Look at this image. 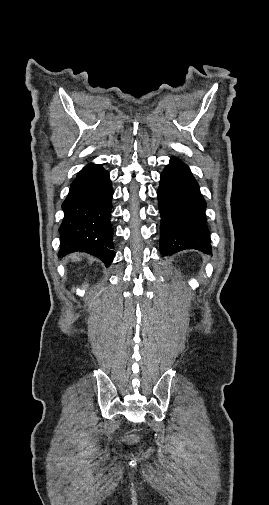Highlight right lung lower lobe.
<instances>
[{
    "label": "right lung lower lobe",
    "instance_id": "obj_1",
    "mask_svg": "<svg viewBox=\"0 0 269 505\" xmlns=\"http://www.w3.org/2000/svg\"><path fill=\"white\" fill-rule=\"evenodd\" d=\"M112 196L109 173L101 165L89 164L78 173L62 204L59 255L86 252L110 265L114 258Z\"/></svg>",
    "mask_w": 269,
    "mask_h": 505
}]
</instances>
